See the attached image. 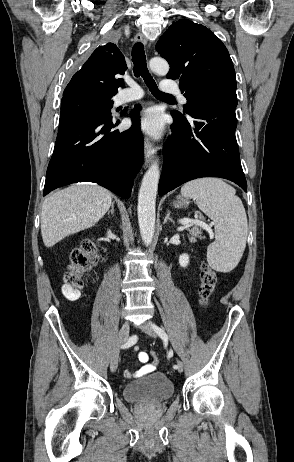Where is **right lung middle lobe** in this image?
I'll return each instance as SVG.
<instances>
[{
    "label": "right lung middle lobe",
    "mask_w": 294,
    "mask_h": 462,
    "mask_svg": "<svg viewBox=\"0 0 294 462\" xmlns=\"http://www.w3.org/2000/svg\"><path fill=\"white\" fill-rule=\"evenodd\" d=\"M112 97L94 93H74L62 98L59 124L95 117L110 119Z\"/></svg>",
    "instance_id": "1"
}]
</instances>
